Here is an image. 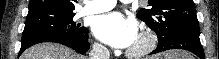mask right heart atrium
<instances>
[{"label":"right heart atrium","mask_w":219,"mask_h":59,"mask_svg":"<svg viewBox=\"0 0 219 59\" xmlns=\"http://www.w3.org/2000/svg\"><path fill=\"white\" fill-rule=\"evenodd\" d=\"M95 48L98 50V51H102L103 50V47L99 44H96L95 45Z\"/></svg>","instance_id":"1"}]
</instances>
